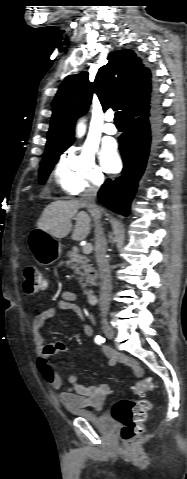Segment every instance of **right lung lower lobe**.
Segmentation results:
<instances>
[{
    "label": "right lung lower lobe",
    "mask_w": 187,
    "mask_h": 479,
    "mask_svg": "<svg viewBox=\"0 0 187 479\" xmlns=\"http://www.w3.org/2000/svg\"><path fill=\"white\" fill-rule=\"evenodd\" d=\"M125 120L127 129L119 138L124 163L122 175L114 181L107 179L98 192V198L110 210L127 216L151 147L161 133L162 115L157 93L147 106L128 112Z\"/></svg>",
    "instance_id": "1"
}]
</instances>
